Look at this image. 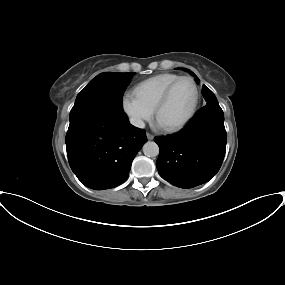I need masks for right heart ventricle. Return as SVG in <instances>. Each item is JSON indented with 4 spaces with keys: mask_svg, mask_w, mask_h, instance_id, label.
<instances>
[{
    "mask_svg": "<svg viewBox=\"0 0 285 285\" xmlns=\"http://www.w3.org/2000/svg\"><path fill=\"white\" fill-rule=\"evenodd\" d=\"M179 76L176 73H161L152 76L134 87V95L143 104L154 110L164 90Z\"/></svg>",
    "mask_w": 285,
    "mask_h": 285,
    "instance_id": "e07e8e85",
    "label": "right heart ventricle"
}]
</instances>
